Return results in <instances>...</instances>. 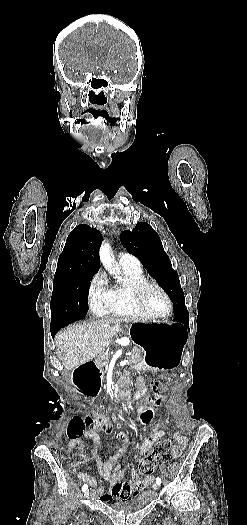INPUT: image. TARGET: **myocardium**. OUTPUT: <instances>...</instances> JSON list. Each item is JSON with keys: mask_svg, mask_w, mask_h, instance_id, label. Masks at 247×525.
Wrapping results in <instances>:
<instances>
[{"mask_svg": "<svg viewBox=\"0 0 247 525\" xmlns=\"http://www.w3.org/2000/svg\"><path fill=\"white\" fill-rule=\"evenodd\" d=\"M147 285L155 286L164 295V297L166 299V302H167V307H166V309L164 311H162L160 313H154V312L148 310L145 307V305L143 304L141 293H142V290ZM131 291H132V295H133L134 303H135L136 307L138 309H140L141 311H143L148 317H154V319H162V318L168 316L171 313L172 308H173L172 299H171L170 295L168 294V292L166 291V289L158 281L153 280V279H142L139 282H137V283H135V284H133L131 286Z\"/></svg>", "mask_w": 247, "mask_h": 525, "instance_id": "obj_1", "label": "myocardium"}]
</instances>
